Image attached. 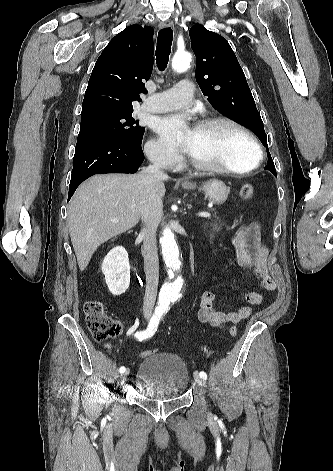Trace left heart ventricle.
Wrapping results in <instances>:
<instances>
[{"mask_svg":"<svg viewBox=\"0 0 333 471\" xmlns=\"http://www.w3.org/2000/svg\"><path fill=\"white\" fill-rule=\"evenodd\" d=\"M189 153L203 161L234 169L249 167L256 157L249 139L228 124L196 128L190 136Z\"/></svg>","mask_w":333,"mask_h":471,"instance_id":"obj_1","label":"left heart ventricle"}]
</instances>
